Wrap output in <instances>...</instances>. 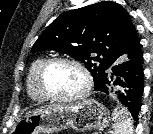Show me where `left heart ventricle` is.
Masks as SVG:
<instances>
[{"instance_id":"b2bd125f","label":"left heart ventricle","mask_w":153,"mask_h":134,"mask_svg":"<svg viewBox=\"0 0 153 134\" xmlns=\"http://www.w3.org/2000/svg\"><path fill=\"white\" fill-rule=\"evenodd\" d=\"M44 86L51 94L67 97L78 94L83 89L84 78L76 67L57 63L46 71Z\"/></svg>"}]
</instances>
